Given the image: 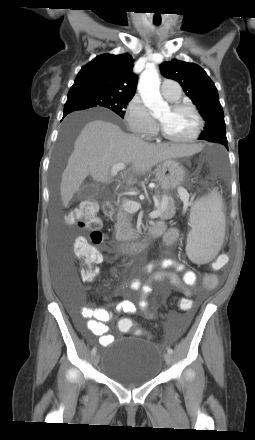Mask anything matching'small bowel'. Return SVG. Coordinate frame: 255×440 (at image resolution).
<instances>
[{"label": "small bowel", "instance_id": "c3829d8e", "mask_svg": "<svg viewBox=\"0 0 255 440\" xmlns=\"http://www.w3.org/2000/svg\"><path fill=\"white\" fill-rule=\"evenodd\" d=\"M157 225L162 229L165 228L163 222H159ZM180 237L181 233L177 227L169 228L163 238L165 247H171L180 239ZM169 268H173L175 271L182 273V276H179L176 272L169 271ZM143 272L151 273L148 282L142 284L139 280H134L131 283V288L133 290H141L144 295L149 294L152 291V285L156 283H167L170 287L183 293L185 295L184 298H191L199 291V289H213L217 284L216 276H210L208 280H206L205 276L203 284L198 287L197 274L192 270L186 269L182 263L170 258L148 264L143 269ZM166 291L167 289H165V292ZM115 311L117 313L125 314L141 313L147 318H152L153 316L149 304L145 299H140L138 301H120L116 304ZM79 316L87 319V321L85 324H82L79 317L76 316L75 320L78 328L81 330H87L97 336L101 346H108L114 341V336L110 333V329L106 324L113 319L112 312H109L104 308L83 307L79 311Z\"/></svg>", "mask_w": 255, "mask_h": 440}]
</instances>
